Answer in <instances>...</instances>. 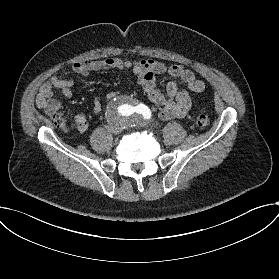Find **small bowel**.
Returning a JSON list of instances; mask_svg holds the SVG:
<instances>
[{
    "instance_id": "1",
    "label": "small bowel",
    "mask_w": 279,
    "mask_h": 279,
    "mask_svg": "<svg viewBox=\"0 0 279 279\" xmlns=\"http://www.w3.org/2000/svg\"><path fill=\"white\" fill-rule=\"evenodd\" d=\"M105 70L133 71L149 99L159 107V117L162 120H171L185 116L190 111L193 100L191 95L183 90L180 84L175 81L167 84V94L164 95L156 87V74L166 73L171 77L179 78L192 92L200 93L205 89L204 82L198 79L192 70L183 65L167 66L153 59L131 62L112 57L78 62L72 66V71L80 76H87L91 72ZM74 84L72 79H64L58 75L51 76L41 85L36 98V105L47 111L58 112L60 118L64 120L61 112V102L53 97V91L59 89L66 98H71L73 96L72 87ZM110 96H114V94ZM103 101L102 97L94 99L92 105L94 114L101 113ZM70 125L78 132L84 133L88 128L86 115H75Z\"/></svg>"
}]
</instances>
